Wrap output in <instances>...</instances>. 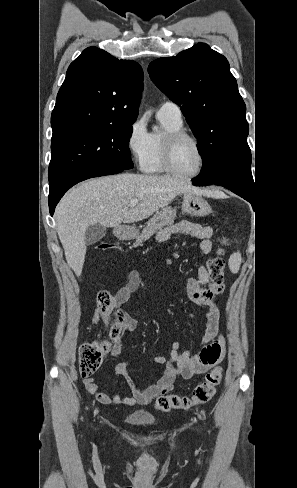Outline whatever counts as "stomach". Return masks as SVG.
I'll use <instances>...</instances> for the list:
<instances>
[{
    "label": "stomach",
    "instance_id": "1",
    "mask_svg": "<svg viewBox=\"0 0 297 488\" xmlns=\"http://www.w3.org/2000/svg\"><path fill=\"white\" fill-rule=\"evenodd\" d=\"M182 211L192 217H205L212 212L209 203L199 194L185 192L183 193ZM115 234L122 239H133L137 236L138 231L129 227H118Z\"/></svg>",
    "mask_w": 297,
    "mask_h": 488
}]
</instances>
